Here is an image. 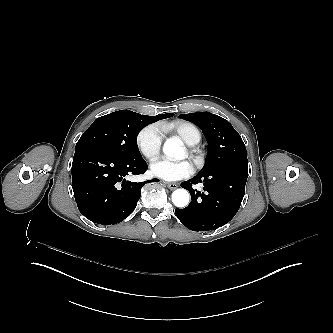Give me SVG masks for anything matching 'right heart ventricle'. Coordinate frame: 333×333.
<instances>
[{"label": "right heart ventricle", "mask_w": 333, "mask_h": 333, "mask_svg": "<svg viewBox=\"0 0 333 333\" xmlns=\"http://www.w3.org/2000/svg\"><path fill=\"white\" fill-rule=\"evenodd\" d=\"M158 130L161 135H164L163 127L159 126ZM172 136L180 137L189 146L197 145L201 141L199 129L195 125L184 121H180L174 126Z\"/></svg>", "instance_id": "1"}]
</instances>
